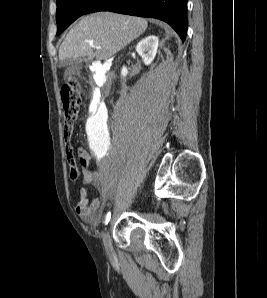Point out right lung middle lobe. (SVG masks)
<instances>
[{"instance_id":"1","label":"right lung middle lobe","mask_w":267,"mask_h":298,"mask_svg":"<svg viewBox=\"0 0 267 298\" xmlns=\"http://www.w3.org/2000/svg\"><path fill=\"white\" fill-rule=\"evenodd\" d=\"M100 0H57V35L84 14L91 13Z\"/></svg>"}]
</instances>
